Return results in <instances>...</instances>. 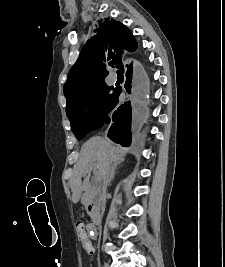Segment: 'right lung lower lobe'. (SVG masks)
Instances as JSON below:
<instances>
[{
    "mask_svg": "<svg viewBox=\"0 0 225 267\" xmlns=\"http://www.w3.org/2000/svg\"><path fill=\"white\" fill-rule=\"evenodd\" d=\"M136 47H137V45L135 46V48L133 50H131V52L134 51L136 49ZM124 70L126 71V76H127L126 84L124 87H125L126 91L128 93H130L131 92L132 74H133L132 63L128 64V62H126ZM144 85H145L144 82L139 81L136 78L135 73H134L132 91L135 94L139 95L141 100H144V98H145L144 97V90H143ZM116 88H118L117 96H116V99L114 100V103L112 104L111 111L118 104L119 95L122 92L121 87H116ZM125 104L118 107L117 110L114 111L113 115H111V116L107 115V117L105 118L102 125L108 124L111 121H114V123L111 125L110 130L108 132V137L116 143H120L121 145H124V146H129L131 143V131H130L131 106H130V103L127 105H125ZM121 114H122V116L120 118ZM120 119H124V120L122 121Z\"/></svg>",
    "mask_w": 225,
    "mask_h": 267,
    "instance_id": "obj_1",
    "label": "right lung lower lobe"
}]
</instances>
